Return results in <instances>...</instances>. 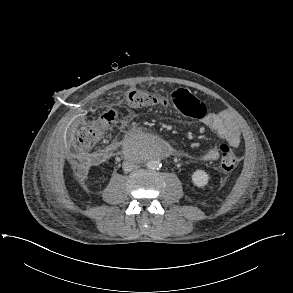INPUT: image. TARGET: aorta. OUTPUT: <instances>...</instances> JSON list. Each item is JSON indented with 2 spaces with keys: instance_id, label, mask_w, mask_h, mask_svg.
Here are the masks:
<instances>
[{
  "instance_id": "762f6f07",
  "label": "aorta",
  "mask_w": 293,
  "mask_h": 293,
  "mask_svg": "<svg viewBox=\"0 0 293 293\" xmlns=\"http://www.w3.org/2000/svg\"><path fill=\"white\" fill-rule=\"evenodd\" d=\"M147 168L149 169H153V170H156V169H159L161 167V163L159 160H150L147 162L146 164Z\"/></svg>"
}]
</instances>
